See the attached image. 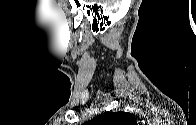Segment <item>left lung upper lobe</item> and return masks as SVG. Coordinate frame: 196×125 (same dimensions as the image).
<instances>
[{
	"mask_svg": "<svg viewBox=\"0 0 196 125\" xmlns=\"http://www.w3.org/2000/svg\"><path fill=\"white\" fill-rule=\"evenodd\" d=\"M135 119L125 112H105L91 120L93 125H135Z\"/></svg>",
	"mask_w": 196,
	"mask_h": 125,
	"instance_id": "1",
	"label": "left lung upper lobe"
}]
</instances>
